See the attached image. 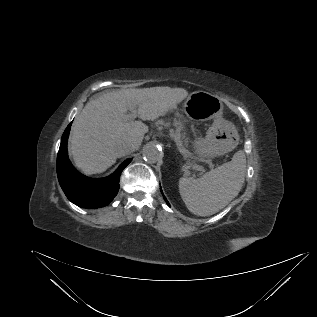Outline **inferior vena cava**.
Segmentation results:
<instances>
[{
    "instance_id": "1",
    "label": "inferior vena cava",
    "mask_w": 317,
    "mask_h": 317,
    "mask_svg": "<svg viewBox=\"0 0 317 317\" xmlns=\"http://www.w3.org/2000/svg\"><path fill=\"white\" fill-rule=\"evenodd\" d=\"M137 148H138L137 144H135V143L124 142L118 146L117 152L120 156H125V155L137 150Z\"/></svg>"
}]
</instances>
